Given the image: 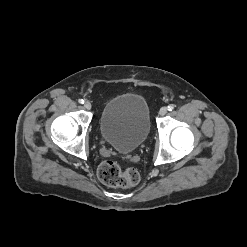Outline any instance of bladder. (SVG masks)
<instances>
[{
  "label": "bladder",
  "instance_id": "obj_1",
  "mask_svg": "<svg viewBox=\"0 0 247 247\" xmlns=\"http://www.w3.org/2000/svg\"><path fill=\"white\" fill-rule=\"evenodd\" d=\"M99 125L106 143L121 153H131L150 132L148 104L134 93L113 97L104 105Z\"/></svg>",
  "mask_w": 247,
  "mask_h": 247
}]
</instances>
